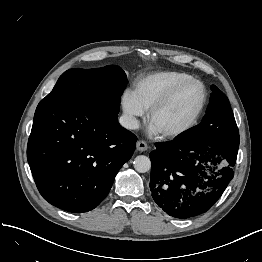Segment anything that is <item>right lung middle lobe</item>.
<instances>
[{
  "label": "right lung middle lobe",
  "instance_id": "obj_1",
  "mask_svg": "<svg viewBox=\"0 0 262 262\" xmlns=\"http://www.w3.org/2000/svg\"><path fill=\"white\" fill-rule=\"evenodd\" d=\"M125 72L116 65L103 68H72L58 79L43 100H72L98 109L110 117H118L121 95L126 87Z\"/></svg>",
  "mask_w": 262,
  "mask_h": 262
}]
</instances>
